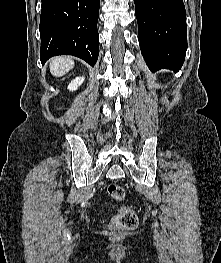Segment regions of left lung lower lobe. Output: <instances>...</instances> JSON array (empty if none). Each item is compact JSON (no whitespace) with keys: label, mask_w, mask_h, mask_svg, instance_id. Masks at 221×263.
<instances>
[{"label":"left lung lower lobe","mask_w":221,"mask_h":263,"mask_svg":"<svg viewBox=\"0 0 221 263\" xmlns=\"http://www.w3.org/2000/svg\"><path fill=\"white\" fill-rule=\"evenodd\" d=\"M139 44L149 69L179 70L187 49L183 0H134Z\"/></svg>","instance_id":"1"}]
</instances>
